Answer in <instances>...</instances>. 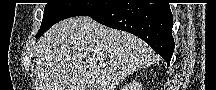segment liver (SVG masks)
I'll list each match as a JSON object with an SVG mask.
<instances>
[{
    "mask_svg": "<svg viewBox=\"0 0 216 90\" xmlns=\"http://www.w3.org/2000/svg\"><path fill=\"white\" fill-rule=\"evenodd\" d=\"M37 48V90H115L128 74L154 60L140 38L88 16L55 24Z\"/></svg>",
    "mask_w": 216,
    "mask_h": 90,
    "instance_id": "1",
    "label": "liver"
}]
</instances>
